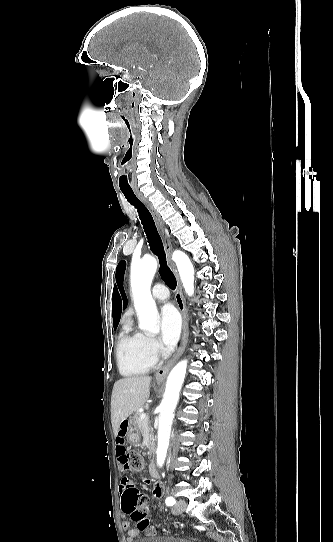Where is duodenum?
Instances as JSON below:
<instances>
[{
    "mask_svg": "<svg viewBox=\"0 0 333 542\" xmlns=\"http://www.w3.org/2000/svg\"><path fill=\"white\" fill-rule=\"evenodd\" d=\"M149 472L152 477H157V469L153 462L149 464Z\"/></svg>",
    "mask_w": 333,
    "mask_h": 542,
    "instance_id": "duodenum-1",
    "label": "duodenum"
}]
</instances>
